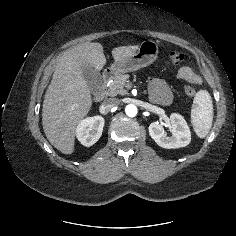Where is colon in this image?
Instances as JSON below:
<instances>
[{"label": "colon", "mask_w": 236, "mask_h": 236, "mask_svg": "<svg viewBox=\"0 0 236 236\" xmlns=\"http://www.w3.org/2000/svg\"><path fill=\"white\" fill-rule=\"evenodd\" d=\"M168 60L172 63V64H180L183 62L184 60V55L181 51L179 50H170L168 52ZM184 92L187 96L189 97H193L196 94L195 89L189 85V84H185L183 86Z\"/></svg>", "instance_id": "5ec220e1"}]
</instances>
